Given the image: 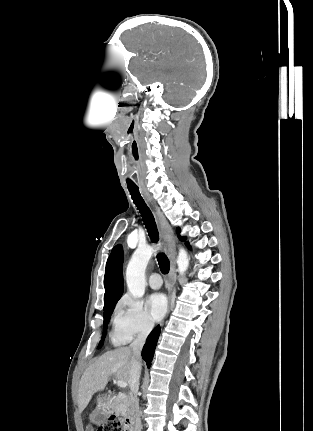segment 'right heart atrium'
<instances>
[{"instance_id": "1", "label": "right heart atrium", "mask_w": 313, "mask_h": 431, "mask_svg": "<svg viewBox=\"0 0 313 431\" xmlns=\"http://www.w3.org/2000/svg\"><path fill=\"white\" fill-rule=\"evenodd\" d=\"M151 320L143 303L130 295H124L117 304L114 317V329L126 336L141 337L148 335L153 329Z\"/></svg>"}]
</instances>
